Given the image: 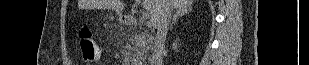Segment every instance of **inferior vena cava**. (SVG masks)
<instances>
[{
	"label": "inferior vena cava",
	"instance_id": "obj_1",
	"mask_svg": "<svg viewBox=\"0 0 309 65\" xmlns=\"http://www.w3.org/2000/svg\"><path fill=\"white\" fill-rule=\"evenodd\" d=\"M170 20L171 10L168 9L163 12L156 27L157 34L154 41V51L150 60V65H162L163 63L164 46Z\"/></svg>",
	"mask_w": 309,
	"mask_h": 65
}]
</instances>
